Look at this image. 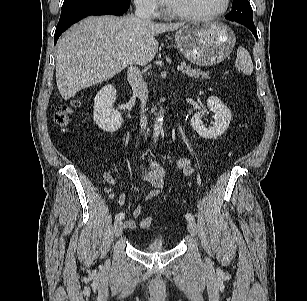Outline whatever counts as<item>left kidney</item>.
Listing matches in <instances>:
<instances>
[{
    "label": "left kidney",
    "mask_w": 307,
    "mask_h": 301,
    "mask_svg": "<svg viewBox=\"0 0 307 301\" xmlns=\"http://www.w3.org/2000/svg\"><path fill=\"white\" fill-rule=\"evenodd\" d=\"M207 107L215 113V122L206 127L201 121V113L197 112L191 119L193 129L203 138L215 139L225 132L231 121L230 109L218 98L211 96L207 100Z\"/></svg>",
    "instance_id": "left-kidney-1"
}]
</instances>
